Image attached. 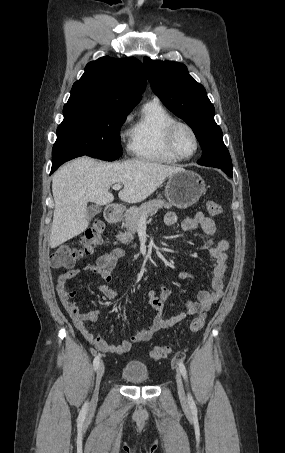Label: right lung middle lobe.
Returning a JSON list of instances; mask_svg holds the SVG:
<instances>
[{"label":"right lung middle lobe","instance_id":"right-lung-middle-lobe-1","mask_svg":"<svg viewBox=\"0 0 285 453\" xmlns=\"http://www.w3.org/2000/svg\"><path fill=\"white\" fill-rule=\"evenodd\" d=\"M131 110L103 105L65 104L56 143L105 161L122 156L120 127Z\"/></svg>","mask_w":285,"mask_h":453}]
</instances>
